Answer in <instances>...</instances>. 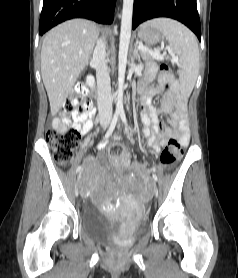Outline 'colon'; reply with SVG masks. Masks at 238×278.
<instances>
[{
	"label": "colon",
	"instance_id": "5ec220e1",
	"mask_svg": "<svg viewBox=\"0 0 238 278\" xmlns=\"http://www.w3.org/2000/svg\"><path fill=\"white\" fill-rule=\"evenodd\" d=\"M160 78L165 89H170L174 75L166 64L160 66ZM63 109L66 112L89 113L92 111V102L88 97L87 88L83 83L75 85L71 94L64 103ZM80 134L73 128L65 129L51 128L46 133V140L53 151L54 159L61 165H67L73 158L74 151L79 144ZM182 145L175 139L170 138L163 149L160 162L163 166H170L179 161L183 156ZM109 156L120 161L128 154L120 145H112L108 150Z\"/></svg>",
	"mask_w": 238,
	"mask_h": 278
}]
</instances>
